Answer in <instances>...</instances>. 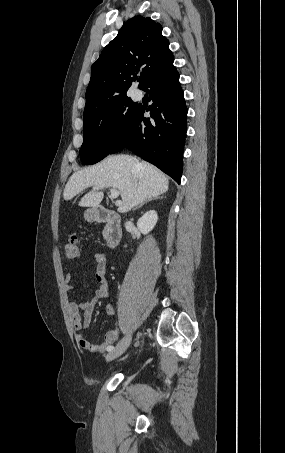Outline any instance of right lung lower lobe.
Returning a JSON list of instances; mask_svg holds the SVG:
<instances>
[{
    "label": "right lung lower lobe",
    "instance_id": "right-lung-lower-lobe-1",
    "mask_svg": "<svg viewBox=\"0 0 285 453\" xmlns=\"http://www.w3.org/2000/svg\"><path fill=\"white\" fill-rule=\"evenodd\" d=\"M152 101L138 106L130 125L111 153L127 148L180 183L187 108L174 66L152 77L143 87ZM150 111L151 118L143 116Z\"/></svg>",
    "mask_w": 285,
    "mask_h": 453
}]
</instances>
